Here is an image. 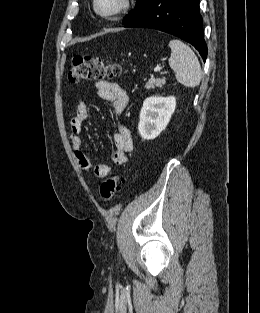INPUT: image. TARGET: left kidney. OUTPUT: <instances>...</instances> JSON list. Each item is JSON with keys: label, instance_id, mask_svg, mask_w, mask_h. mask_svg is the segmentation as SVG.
Wrapping results in <instances>:
<instances>
[{"label": "left kidney", "instance_id": "5707ae66", "mask_svg": "<svg viewBox=\"0 0 260 313\" xmlns=\"http://www.w3.org/2000/svg\"><path fill=\"white\" fill-rule=\"evenodd\" d=\"M176 108V98L148 97L143 102L138 124L139 134L143 139H155L168 125Z\"/></svg>", "mask_w": 260, "mask_h": 313}]
</instances>
